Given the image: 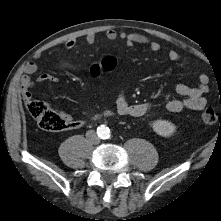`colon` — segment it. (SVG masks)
<instances>
[{
	"mask_svg": "<svg viewBox=\"0 0 221 221\" xmlns=\"http://www.w3.org/2000/svg\"><path fill=\"white\" fill-rule=\"evenodd\" d=\"M117 66V59L111 56H106L99 62L91 65L90 73L93 76H98L102 71H112ZM26 106L30 114L37 121L39 126L49 132H60L68 128L67 120L53 111L50 106L43 100L29 99ZM216 112L211 109H205L201 115L200 120L204 124H214L217 121Z\"/></svg>",
	"mask_w": 221,
	"mask_h": 221,
	"instance_id": "obj_1",
	"label": "colon"
}]
</instances>
